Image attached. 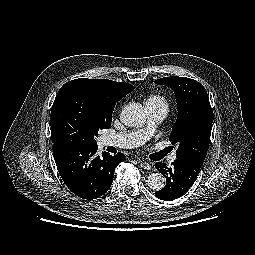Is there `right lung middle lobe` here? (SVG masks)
Instances as JSON below:
<instances>
[{"mask_svg":"<svg viewBox=\"0 0 255 255\" xmlns=\"http://www.w3.org/2000/svg\"><path fill=\"white\" fill-rule=\"evenodd\" d=\"M112 112L103 110L83 88L72 87L58 93L50 116L53 144L96 146L95 137L110 127Z\"/></svg>","mask_w":255,"mask_h":255,"instance_id":"right-lung-middle-lobe-1","label":"right lung middle lobe"}]
</instances>
